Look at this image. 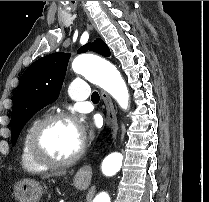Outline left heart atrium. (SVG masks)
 Returning a JSON list of instances; mask_svg holds the SVG:
<instances>
[{
  "label": "left heart atrium",
  "instance_id": "obj_1",
  "mask_svg": "<svg viewBox=\"0 0 209 202\" xmlns=\"http://www.w3.org/2000/svg\"><path fill=\"white\" fill-rule=\"evenodd\" d=\"M77 130H78L79 136L83 139L85 135V131H86L85 124L84 123L77 124Z\"/></svg>",
  "mask_w": 209,
  "mask_h": 202
}]
</instances>
